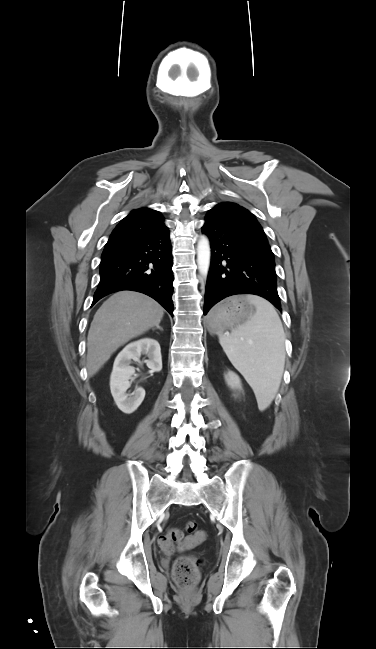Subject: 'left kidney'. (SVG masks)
<instances>
[{
	"label": "left kidney",
	"mask_w": 376,
	"mask_h": 649,
	"mask_svg": "<svg viewBox=\"0 0 376 649\" xmlns=\"http://www.w3.org/2000/svg\"><path fill=\"white\" fill-rule=\"evenodd\" d=\"M225 380L230 388L242 389L241 380L236 373L229 371L225 376Z\"/></svg>",
	"instance_id": "1"
}]
</instances>
